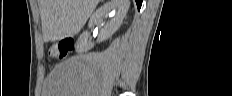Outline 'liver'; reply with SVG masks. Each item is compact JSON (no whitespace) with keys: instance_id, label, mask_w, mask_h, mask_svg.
<instances>
[{"instance_id":"obj_1","label":"liver","mask_w":232,"mask_h":96,"mask_svg":"<svg viewBox=\"0 0 232 96\" xmlns=\"http://www.w3.org/2000/svg\"><path fill=\"white\" fill-rule=\"evenodd\" d=\"M100 0H38L44 42L80 32Z\"/></svg>"}]
</instances>
